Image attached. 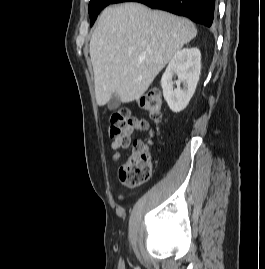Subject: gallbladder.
I'll return each mask as SVG.
<instances>
[{
    "label": "gallbladder",
    "mask_w": 265,
    "mask_h": 269,
    "mask_svg": "<svg viewBox=\"0 0 265 269\" xmlns=\"http://www.w3.org/2000/svg\"><path fill=\"white\" fill-rule=\"evenodd\" d=\"M120 99L118 98V96L114 93L112 96H111V98H110V100H109V102H108V104H107V106H108V109L109 110H115V109H117L119 106H120Z\"/></svg>",
    "instance_id": "1"
}]
</instances>
